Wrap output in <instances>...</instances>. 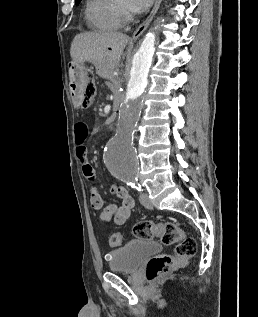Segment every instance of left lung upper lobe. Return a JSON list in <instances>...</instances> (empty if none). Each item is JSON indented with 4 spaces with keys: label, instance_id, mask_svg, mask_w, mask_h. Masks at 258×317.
<instances>
[{
    "label": "left lung upper lobe",
    "instance_id": "1",
    "mask_svg": "<svg viewBox=\"0 0 258 317\" xmlns=\"http://www.w3.org/2000/svg\"><path fill=\"white\" fill-rule=\"evenodd\" d=\"M81 0H76V5L80 2Z\"/></svg>",
    "mask_w": 258,
    "mask_h": 317
}]
</instances>
